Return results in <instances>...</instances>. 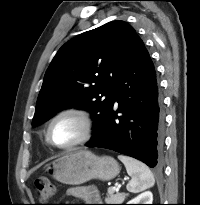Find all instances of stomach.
I'll return each instance as SVG.
<instances>
[{
	"instance_id": "obj_1",
	"label": "stomach",
	"mask_w": 200,
	"mask_h": 205,
	"mask_svg": "<svg viewBox=\"0 0 200 205\" xmlns=\"http://www.w3.org/2000/svg\"><path fill=\"white\" fill-rule=\"evenodd\" d=\"M47 172L57 181L80 185L91 179L111 180L119 173L117 161L110 156H96L90 151L68 153L47 165Z\"/></svg>"
}]
</instances>
